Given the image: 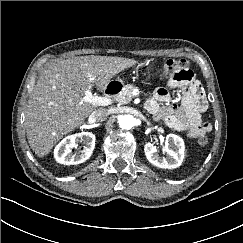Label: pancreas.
Returning <instances> with one entry per match:
<instances>
[{"label": "pancreas", "instance_id": "obj_1", "mask_svg": "<svg viewBox=\"0 0 243 243\" xmlns=\"http://www.w3.org/2000/svg\"><path fill=\"white\" fill-rule=\"evenodd\" d=\"M136 88L131 85V84H127L124 86L123 90L121 91L120 94H118L117 96H114L115 101H117L120 104H127L132 100V92L135 90Z\"/></svg>", "mask_w": 243, "mask_h": 243}]
</instances>
